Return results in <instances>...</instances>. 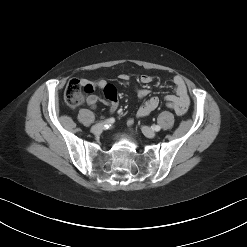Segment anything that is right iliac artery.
Instances as JSON below:
<instances>
[{"mask_svg":"<svg viewBox=\"0 0 247 247\" xmlns=\"http://www.w3.org/2000/svg\"><path fill=\"white\" fill-rule=\"evenodd\" d=\"M115 120L114 118H110V119H107L104 121L105 124H110V123H113Z\"/></svg>","mask_w":247,"mask_h":247,"instance_id":"obj_1","label":"right iliac artery"}]
</instances>
